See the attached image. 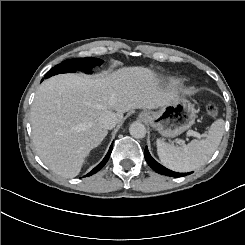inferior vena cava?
Instances as JSON below:
<instances>
[{"instance_id":"602c4592","label":"inferior vena cava","mask_w":245,"mask_h":245,"mask_svg":"<svg viewBox=\"0 0 245 245\" xmlns=\"http://www.w3.org/2000/svg\"><path fill=\"white\" fill-rule=\"evenodd\" d=\"M117 122L116 114L112 111L103 112L98 119L99 125L104 129L114 128Z\"/></svg>"}]
</instances>
